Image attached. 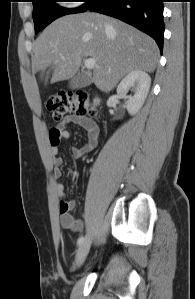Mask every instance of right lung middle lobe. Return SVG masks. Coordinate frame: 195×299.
<instances>
[{"mask_svg":"<svg viewBox=\"0 0 195 299\" xmlns=\"http://www.w3.org/2000/svg\"><path fill=\"white\" fill-rule=\"evenodd\" d=\"M56 0H32L33 20L35 33L45 28L55 19L74 13L85 12L93 0H85V4L74 9H66L58 6Z\"/></svg>","mask_w":195,"mask_h":299,"instance_id":"dd1d6c3e","label":"right lung middle lobe"}]
</instances>
